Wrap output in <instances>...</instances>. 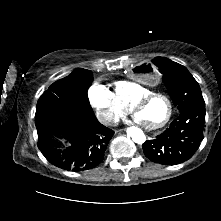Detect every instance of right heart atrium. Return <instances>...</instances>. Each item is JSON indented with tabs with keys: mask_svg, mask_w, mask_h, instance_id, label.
I'll use <instances>...</instances> for the list:
<instances>
[{
	"mask_svg": "<svg viewBox=\"0 0 221 221\" xmlns=\"http://www.w3.org/2000/svg\"><path fill=\"white\" fill-rule=\"evenodd\" d=\"M90 104L95 109L99 120L106 125L117 123L127 113V108L105 85L95 82L88 91Z\"/></svg>",
	"mask_w": 221,
	"mask_h": 221,
	"instance_id": "obj_1",
	"label": "right heart atrium"
}]
</instances>
